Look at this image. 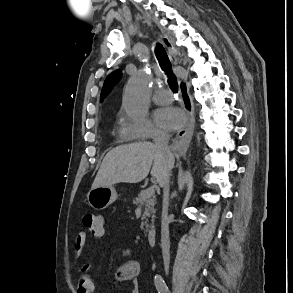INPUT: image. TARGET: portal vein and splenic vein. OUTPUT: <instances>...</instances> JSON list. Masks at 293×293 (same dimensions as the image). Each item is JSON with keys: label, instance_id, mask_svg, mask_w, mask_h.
<instances>
[{"label": "portal vein and splenic vein", "instance_id": "portal-vein-and-splenic-vein-1", "mask_svg": "<svg viewBox=\"0 0 293 293\" xmlns=\"http://www.w3.org/2000/svg\"><path fill=\"white\" fill-rule=\"evenodd\" d=\"M154 193H155L154 188H153V187H150V188H147V189H146L145 196H146V197H151L152 195H154Z\"/></svg>", "mask_w": 293, "mask_h": 293}]
</instances>
